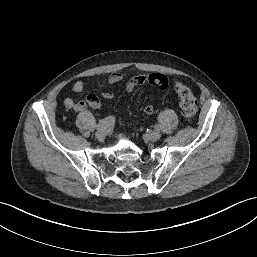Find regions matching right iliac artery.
Returning a JSON list of instances; mask_svg holds the SVG:
<instances>
[{
	"label": "right iliac artery",
	"instance_id": "82829eb1",
	"mask_svg": "<svg viewBox=\"0 0 257 257\" xmlns=\"http://www.w3.org/2000/svg\"><path fill=\"white\" fill-rule=\"evenodd\" d=\"M114 123H115V117L109 116L103 120H100L99 123L96 125V129L97 130L105 129L108 126L114 125Z\"/></svg>",
	"mask_w": 257,
	"mask_h": 257
}]
</instances>
